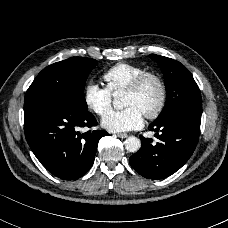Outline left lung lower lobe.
<instances>
[{
	"mask_svg": "<svg viewBox=\"0 0 228 228\" xmlns=\"http://www.w3.org/2000/svg\"><path fill=\"white\" fill-rule=\"evenodd\" d=\"M201 114L187 111L175 112L154 121L150 130L160 140L141 138V148L129 158V163L147 179H163L179 170L191 157L198 143Z\"/></svg>",
	"mask_w": 228,
	"mask_h": 228,
	"instance_id": "0a47b994",
	"label": "left lung lower lobe"
}]
</instances>
